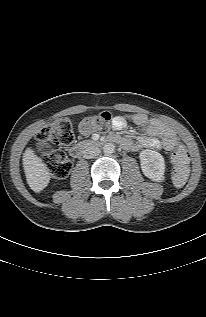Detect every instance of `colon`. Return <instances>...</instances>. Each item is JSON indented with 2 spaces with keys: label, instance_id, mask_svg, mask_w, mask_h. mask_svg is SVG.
I'll use <instances>...</instances> for the list:
<instances>
[{
  "label": "colon",
  "instance_id": "5ec220e1",
  "mask_svg": "<svg viewBox=\"0 0 206 317\" xmlns=\"http://www.w3.org/2000/svg\"><path fill=\"white\" fill-rule=\"evenodd\" d=\"M113 116L108 111L84 118L80 129L84 133L101 132L107 129ZM74 141L73 125L69 118L62 117L43 127L36 135L35 153L47 166L52 177L63 179L71 170V161L59 146H68ZM165 148L173 150V181L182 185L189 174V153L177 138H170L164 143Z\"/></svg>",
  "mask_w": 206,
  "mask_h": 317
}]
</instances>
